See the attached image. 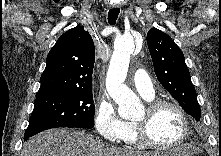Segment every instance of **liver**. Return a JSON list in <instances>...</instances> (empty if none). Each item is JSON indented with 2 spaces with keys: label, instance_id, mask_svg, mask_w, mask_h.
I'll use <instances>...</instances> for the list:
<instances>
[{
  "label": "liver",
  "instance_id": "6515ba94",
  "mask_svg": "<svg viewBox=\"0 0 221 156\" xmlns=\"http://www.w3.org/2000/svg\"><path fill=\"white\" fill-rule=\"evenodd\" d=\"M185 155L198 152L196 147L185 146ZM21 156H151L146 152L105 145L84 131L58 128L44 131L29 139Z\"/></svg>",
  "mask_w": 221,
  "mask_h": 156
}]
</instances>
